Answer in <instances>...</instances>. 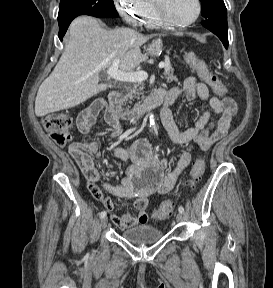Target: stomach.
Wrapping results in <instances>:
<instances>
[{"label": "stomach", "instance_id": "1", "mask_svg": "<svg viewBox=\"0 0 273 288\" xmlns=\"http://www.w3.org/2000/svg\"><path fill=\"white\" fill-rule=\"evenodd\" d=\"M162 51V40L158 38L148 46L147 52L150 56L156 57L159 56Z\"/></svg>", "mask_w": 273, "mask_h": 288}]
</instances>
